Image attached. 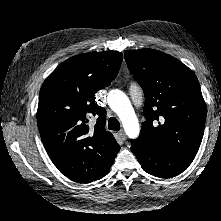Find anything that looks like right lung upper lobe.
Returning <instances> with one entry per match:
<instances>
[{"instance_id": "obj_1", "label": "right lung upper lobe", "mask_w": 221, "mask_h": 221, "mask_svg": "<svg viewBox=\"0 0 221 221\" xmlns=\"http://www.w3.org/2000/svg\"><path fill=\"white\" fill-rule=\"evenodd\" d=\"M123 54L90 52L61 63L44 81L37 124L44 147L54 165L69 179L88 183L111 167L119 144L106 131V111L95 102V93L111 84ZM97 124L89 127V118Z\"/></svg>"}]
</instances>
